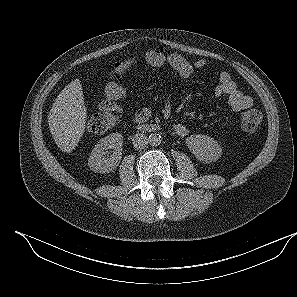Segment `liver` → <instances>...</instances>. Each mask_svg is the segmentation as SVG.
Instances as JSON below:
<instances>
[{"label":"liver","mask_w":297,"mask_h":297,"mask_svg":"<svg viewBox=\"0 0 297 297\" xmlns=\"http://www.w3.org/2000/svg\"><path fill=\"white\" fill-rule=\"evenodd\" d=\"M86 118L82 86L75 79L57 96L48 114L50 133L62 151L70 153L76 148L84 134Z\"/></svg>","instance_id":"liver-1"}]
</instances>
